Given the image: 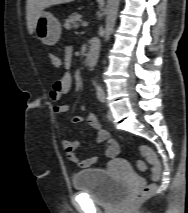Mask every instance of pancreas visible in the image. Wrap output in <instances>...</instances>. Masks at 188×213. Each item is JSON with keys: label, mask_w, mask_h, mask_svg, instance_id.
<instances>
[{"label": "pancreas", "mask_w": 188, "mask_h": 213, "mask_svg": "<svg viewBox=\"0 0 188 213\" xmlns=\"http://www.w3.org/2000/svg\"><path fill=\"white\" fill-rule=\"evenodd\" d=\"M80 14L78 13H73L71 14L64 22V27L66 29H72V28H77L79 26V22H80Z\"/></svg>", "instance_id": "pancreas-1"}]
</instances>
